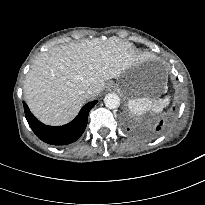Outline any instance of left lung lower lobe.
<instances>
[{"instance_id": "left-lung-lower-lobe-1", "label": "left lung lower lobe", "mask_w": 205, "mask_h": 205, "mask_svg": "<svg viewBox=\"0 0 205 205\" xmlns=\"http://www.w3.org/2000/svg\"><path fill=\"white\" fill-rule=\"evenodd\" d=\"M166 125H167L166 121L164 120L158 121L151 127L149 133L154 136L159 135L165 130ZM127 130H129V128Z\"/></svg>"}]
</instances>
